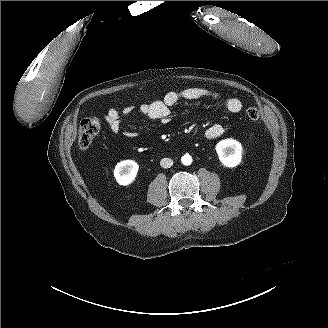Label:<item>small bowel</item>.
<instances>
[{"label": "small bowel", "mask_w": 328, "mask_h": 328, "mask_svg": "<svg viewBox=\"0 0 328 328\" xmlns=\"http://www.w3.org/2000/svg\"><path fill=\"white\" fill-rule=\"evenodd\" d=\"M202 98H209L213 101L221 102L230 113H239L243 108L241 100L236 97L224 98L218 91L201 87H190L180 91H170L162 100H155L142 104L138 108V112L150 120H157L162 124H167L170 120L171 107L180 100H198ZM134 112L135 107L128 105L123 108L122 111L110 108L105 113L104 117L109 129L113 133H121L125 137L132 138L134 137V133L123 130L121 122L123 117L130 116ZM223 132L224 129L220 124H214L207 128L205 136L209 140H215L219 138Z\"/></svg>", "instance_id": "1"}]
</instances>
